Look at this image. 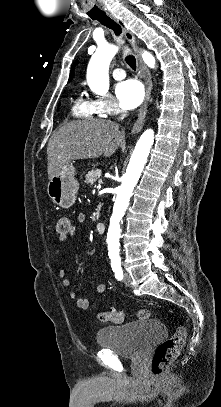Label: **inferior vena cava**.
<instances>
[{"mask_svg": "<svg viewBox=\"0 0 221 407\" xmlns=\"http://www.w3.org/2000/svg\"><path fill=\"white\" fill-rule=\"evenodd\" d=\"M127 116V112L125 110H121V116L119 117V121L123 120Z\"/></svg>", "mask_w": 221, "mask_h": 407, "instance_id": "obj_1", "label": "inferior vena cava"}]
</instances>
